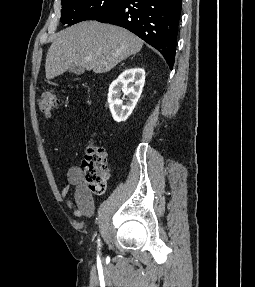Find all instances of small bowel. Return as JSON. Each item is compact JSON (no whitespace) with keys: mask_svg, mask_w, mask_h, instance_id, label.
<instances>
[{"mask_svg":"<svg viewBox=\"0 0 255 287\" xmlns=\"http://www.w3.org/2000/svg\"><path fill=\"white\" fill-rule=\"evenodd\" d=\"M68 184L62 189L61 197L77 218L91 217L94 212V200L84 181V172L78 166H72L67 172Z\"/></svg>","mask_w":255,"mask_h":287,"instance_id":"c3829d8e","label":"small bowel"}]
</instances>
